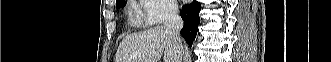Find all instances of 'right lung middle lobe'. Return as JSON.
Returning <instances> with one entry per match:
<instances>
[{
    "mask_svg": "<svg viewBox=\"0 0 331 62\" xmlns=\"http://www.w3.org/2000/svg\"><path fill=\"white\" fill-rule=\"evenodd\" d=\"M125 5H126V2L124 0L121 1V2L116 3L117 8L124 7Z\"/></svg>",
    "mask_w": 331,
    "mask_h": 62,
    "instance_id": "obj_1",
    "label": "right lung middle lobe"
}]
</instances>
